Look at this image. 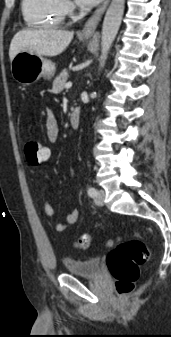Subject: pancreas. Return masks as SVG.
Returning a JSON list of instances; mask_svg holds the SVG:
<instances>
[{
  "label": "pancreas",
  "mask_w": 171,
  "mask_h": 337,
  "mask_svg": "<svg viewBox=\"0 0 171 337\" xmlns=\"http://www.w3.org/2000/svg\"><path fill=\"white\" fill-rule=\"evenodd\" d=\"M68 79V70L64 69L58 77L53 81L52 92L58 94L63 90V87Z\"/></svg>",
  "instance_id": "cf45deb5"
}]
</instances>
